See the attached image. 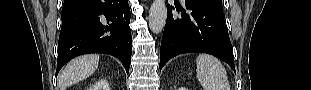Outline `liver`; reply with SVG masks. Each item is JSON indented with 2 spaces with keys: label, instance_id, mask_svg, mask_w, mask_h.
<instances>
[{
  "label": "liver",
  "instance_id": "6515ba94",
  "mask_svg": "<svg viewBox=\"0 0 311 90\" xmlns=\"http://www.w3.org/2000/svg\"><path fill=\"white\" fill-rule=\"evenodd\" d=\"M98 64L99 55L96 54L83 55L71 60L59 77L60 90H65L68 86L91 76Z\"/></svg>",
  "mask_w": 311,
  "mask_h": 90
}]
</instances>
